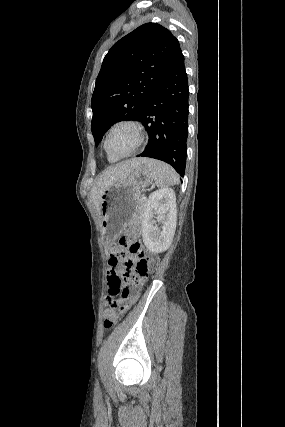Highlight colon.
Returning <instances> with one entry per match:
<instances>
[{
    "mask_svg": "<svg viewBox=\"0 0 285 427\" xmlns=\"http://www.w3.org/2000/svg\"><path fill=\"white\" fill-rule=\"evenodd\" d=\"M136 229H128L124 234L114 241L110 246V256L120 257V252L128 248L129 260L126 263L119 261L122 269L132 270V275L128 283L125 282L122 274L108 275V283L111 295L107 298V311L104 318V328L111 330L117 322V310L127 301H133L140 287L148 278L152 270V258L145 254L142 246L136 241Z\"/></svg>",
    "mask_w": 285,
    "mask_h": 427,
    "instance_id": "5ec220e1",
    "label": "colon"
}]
</instances>
